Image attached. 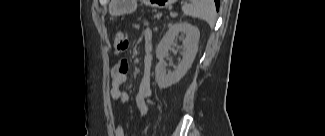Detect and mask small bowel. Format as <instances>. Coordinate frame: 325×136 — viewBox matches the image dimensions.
<instances>
[{"instance_id": "small-bowel-1", "label": "small bowel", "mask_w": 325, "mask_h": 136, "mask_svg": "<svg viewBox=\"0 0 325 136\" xmlns=\"http://www.w3.org/2000/svg\"><path fill=\"white\" fill-rule=\"evenodd\" d=\"M153 34L151 31L147 30L144 33V39L146 42V54L143 59V69L142 75L138 83V89L135 96V104L138 110L145 114L148 111V99L151 96V64L152 58L149 53V48L151 45ZM129 72V63L127 60H121L113 66L110 72L111 76V88L110 96L113 101L125 104L130 100V95L121 90V85L127 81ZM116 136H124V129L122 126H117L115 128Z\"/></svg>"}]
</instances>
